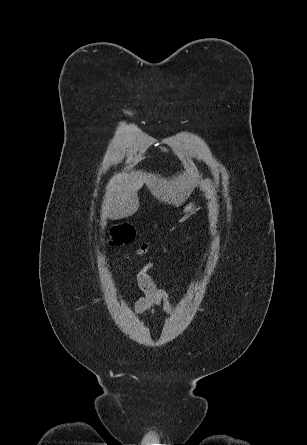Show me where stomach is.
Instances as JSON below:
<instances>
[{
	"label": "stomach",
	"mask_w": 307,
	"mask_h": 445,
	"mask_svg": "<svg viewBox=\"0 0 307 445\" xmlns=\"http://www.w3.org/2000/svg\"><path fill=\"white\" fill-rule=\"evenodd\" d=\"M192 210H194L193 202H189V204L183 208V212H185V214H189V212H192Z\"/></svg>",
	"instance_id": "obj_1"
}]
</instances>
